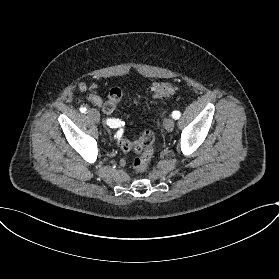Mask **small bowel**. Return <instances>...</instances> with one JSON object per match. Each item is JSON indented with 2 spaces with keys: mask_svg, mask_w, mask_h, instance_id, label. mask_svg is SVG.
<instances>
[{
  "mask_svg": "<svg viewBox=\"0 0 279 279\" xmlns=\"http://www.w3.org/2000/svg\"><path fill=\"white\" fill-rule=\"evenodd\" d=\"M81 89L88 90V94H87L88 101H90L96 106H100L102 104V98L98 93V86L96 84H90L89 86L82 85Z\"/></svg>",
  "mask_w": 279,
  "mask_h": 279,
  "instance_id": "c3829d8e",
  "label": "small bowel"
}]
</instances>
